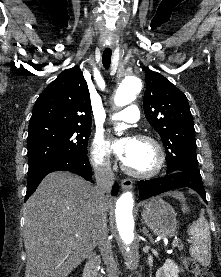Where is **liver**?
Wrapping results in <instances>:
<instances>
[{
    "label": "liver",
    "instance_id": "liver-1",
    "mask_svg": "<svg viewBox=\"0 0 221 277\" xmlns=\"http://www.w3.org/2000/svg\"><path fill=\"white\" fill-rule=\"evenodd\" d=\"M98 203L97 187L80 176L60 171L42 180L25 204V277H67L91 254L100 238Z\"/></svg>",
    "mask_w": 221,
    "mask_h": 277
}]
</instances>
